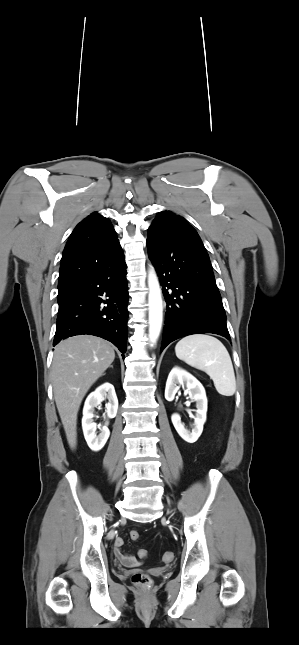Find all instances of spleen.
I'll list each match as a JSON object with an SVG mask.
<instances>
[{"instance_id": "3e777b00", "label": "spleen", "mask_w": 299, "mask_h": 645, "mask_svg": "<svg viewBox=\"0 0 299 645\" xmlns=\"http://www.w3.org/2000/svg\"><path fill=\"white\" fill-rule=\"evenodd\" d=\"M175 353L180 360L208 374L219 394L232 396L235 393L232 361L227 349L217 338L206 334L186 336L176 344Z\"/></svg>"}]
</instances>
